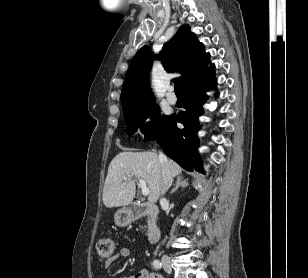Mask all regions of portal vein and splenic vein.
I'll return each instance as SVG.
<instances>
[{
    "mask_svg": "<svg viewBox=\"0 0 308 278\" xmlns=\"http://www.w3.org/2000/svg\"><path fill=\"white\" fill-rule=\"evenodd\" d=\"M128 177H130V175H128ZM124 178H127V177L125 176ZM138 181H139V186L141 188L142 194L144 196L149 195V189L146 186V182L143 179H141V178H138Z\"/></svg>",
    "mask_w": 308,
    "mask_h": 278,
    "instance_id": "1",
    "label": "portal vein and splenic vein"
}]
</instances>
